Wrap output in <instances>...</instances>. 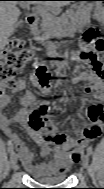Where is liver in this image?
I'll list each match as a JSON object with an SVG mask.
<instances>
[{
  "mask_svg": "<svg viewBox=\"0 0 104 189\" xmlns=\"http://www.w3.org/2000/svg\"><path fill=\"white\" fill-rule=\"evenodd\" d=\"M16 1H1L0 3V46L3 49L8 41V38L14 32V25L17 22L20 11L17 8ZM38 5H46L52 7H61L69 4V1H47V2H32Z\"/></svg>",
  "mask_w": 104,
  "mask_h": 189,
  "instance_id": "obj_1",
  "label": "liver"
}]
</instances>
